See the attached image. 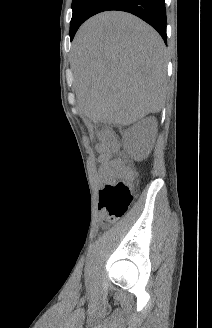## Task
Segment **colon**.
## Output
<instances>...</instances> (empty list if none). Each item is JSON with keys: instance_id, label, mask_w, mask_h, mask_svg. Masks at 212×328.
<instances>
[{"instance_id": "1", "label": "colon", "mask_w": 212, "mask_h": 328, "mask_svg": "<svg viewBox=\"0 0 212 328\" xmlns=\"http://www.w3.org/2000/svg\"><path fill=\"white\" fill-rule=\"evenodd\" d=\"M102 144L119 151V144L115 136L108 132L100 135ZM120 175L126 181H119L105 185L99 193V209L102 212L103 223L110 225L124 216L134 199V187L131 183L133 169L130 166H122Z\"/></svg>"}]
</instances>
